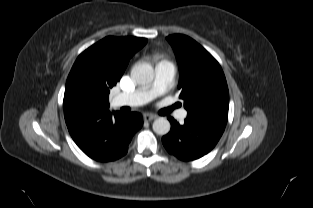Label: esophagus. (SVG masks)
<instances>
[{"mask_svg":"<svg viewBox=\"0 0 313 208\" xmlns=\"http://www.w3.org/2000/svg\"><path fill=\"white\" fill-rule=\"evenodd\" d=\"M143 117L145 121H152L157 118V116L153 114H144Z\"/></svg>","mask_w":313,"mask_h":208,"instance_id":"1","label":"esophagus"}]
</instances>
